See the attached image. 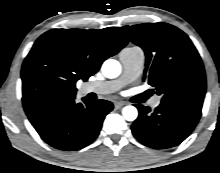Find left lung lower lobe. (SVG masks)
Here are the masks:
<instances>
[{
  "mask_svg": "<svg viewBox=\"0 0 220 173\" xmlns=\"http://www.w3.org/2000/svg\"><path fill=\"white\" fill-rule=\"evenodd\" d=\"M139 116L131 129L142 144L154 149L174 147L184 141L197 125L201 113L161 103L153 112L149 107L135 105Z\"/></svg>",
  "mask_w": 220,
  "mask_h": 173,
  "instance_id": "0a47b994",
  "label": "left lung lower lobe"
}]
</instances>
